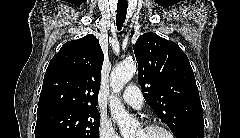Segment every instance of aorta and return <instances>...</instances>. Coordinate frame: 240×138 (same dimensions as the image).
<instances>
[{"mask_svg": "<svg viewBox=\"0 0 240 138\" xmlns=\"http://www.w3.org/2000/svg\"><path fill=\"white\" fill-rule=\"evenodd\" d=\"M135 71L136 64L133 61H124L113 68L110 76L111 88L113 94H115L110 99V112L124 138L132 136L138 123L127 113L116 95L119 94L123 87L131 80Z\"/></svg>", "mask_w": 240, "mask_h": 138, "instance_id": "aorta-1", "label": "aorta"}]
</instances>
